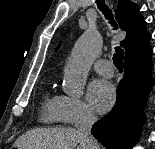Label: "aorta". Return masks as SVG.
<instances>
[{
  "label": "aorta",
  "mask_w": 155,
  "mask_h": 149,
  "mask_svg": "<svg viewBox=\"0 0 155 149\" xmlns=\"http://www.w3.org/2000/svg\"><path fill=\"white\" fill-rule=\"evenodd\" d=\"M102 47V39L94 27H89L77 40L65 65L63 91L79 97L83 94L90 65Z\"/></svg>",
  "instance_id": "762f6f07"
}]
</instances>
